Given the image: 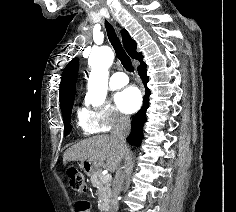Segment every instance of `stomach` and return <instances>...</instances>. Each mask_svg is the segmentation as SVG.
<instances>
[{
	"label": "stomach",
	"mask_w": 236,
	"mask_h": 212,
	"mask_svg": "<svg viewBox=\"0 0 236 212\" xmlns=\"http://www.w3.org/2000/svg\"><path fill=\"white\" fill-rule=\"evenodd\" d=\"M81 168L88 176H91L97 172L99 167H97L93 162L85 160L81 163Z\"/></svg>",
	"instance_id": "obj_1"
}]
</instances>
